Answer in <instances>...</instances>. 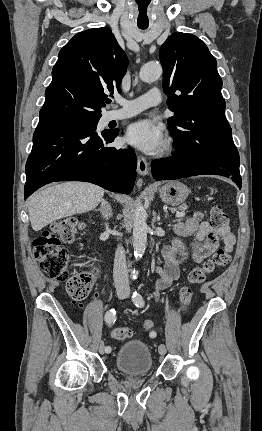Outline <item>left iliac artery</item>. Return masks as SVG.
<instances>
[{"mask_svg": "<svg viewBox=\"0 0 262 431\" xmlns=\"http://www.w3.org/2000/svg\"><path fill=\"white\" fill-rule=\"evenodd\" d=\"M132 300L137 307H143L144 306L145 301L139 292H137V291L133 292Z\"/></svg>", "mask_w": 262, "mask_h": 431, "instance_id": "44dca946", "label": "left iliac artery"}]
</instances>
